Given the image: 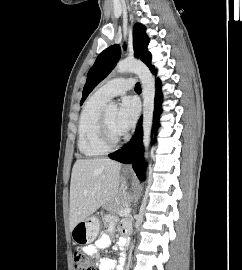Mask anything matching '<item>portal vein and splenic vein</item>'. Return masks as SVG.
Here are the masks:
<instances>
[{
	"label": "portal vein and splenic vein",
	"instance_id": "1",
	"mask_svg": "<svg viewBox=\"0 0 242 270\" xmlns=\"http://www.w3.org/2000/svg\"><path fill=\"white\" fill-rule=\"evenodd\" d=\"M130 211H131V208L125 207L124 209H122V210L119 212V214H120V215H124V214L129 213Z\"/></svg>",
	"mask_w": 242,
	"mask_h": 270
}]
</instances>
